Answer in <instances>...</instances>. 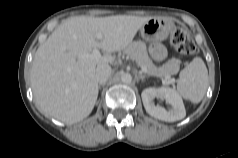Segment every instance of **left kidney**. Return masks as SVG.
<instances>
[{
    "mask_svg": "<svg viewBox=\"0 0 238 158\" xmlns=\"http://www.w3.org/2000/svg\"><path fill=\"white\" fill-rule=\"evenodd\" d=\"M141 97L146 112L154 118L166 122H175L183 119L186 115L182 98L174 89L149 87L142 91ZM155 97L163 98L172 108L167 111L164 107L155 106L153 103Z\"/></svg>",
    "mask_w": 238,
    "mask_h": 158,
    "instance_id": "1",
    "label": "left kidney"
}]
</instances>
